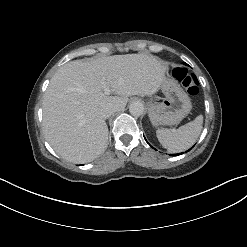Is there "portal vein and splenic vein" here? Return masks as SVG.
Segmentation results:
<instances>
[{
  "mask_svg": "<svg viewBox=\"0 0 247 247\" xmlns=\"http://www.w3.org/2000/svg\"><path fill=\"white\" fill-rule=\"evenodd\" d=\"M103 88H104V94L109 95L111 92L110 89L105 84H103Z\"/></svg>",
  "mask_w": 247,
  "mask_h": 247,
  "instance_id": "portal-vein-and-splenic-vein-1",
  "label": "portal vein and splenic vein"
}]
</instances>
